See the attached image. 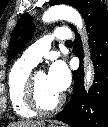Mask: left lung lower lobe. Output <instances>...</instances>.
I'll return each mask as SVG.
<instances>
[{"label":"left lung lower lobe","mask_w":108,"mask_h":127,"mask_svg":"<svg viewBox=\"0 0 108 127\" xmlns=\"http://www.w3.org/2000/svg\"><path fill=\"white\" fill-rule=\"evenodd\" d=\"M87 32L94 65V83L84 91V71L81 64L73 72L74 90L69 103L56 115V119L71 127H108V11L101 0H83L79 7ZM76 34L77 30L72 29ZM80 41L75 40L74 51L82 59Z\"/></svg>","instance_id":"obj_1"}]
</instances>
